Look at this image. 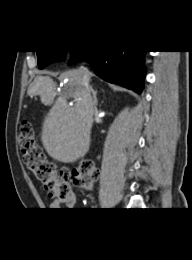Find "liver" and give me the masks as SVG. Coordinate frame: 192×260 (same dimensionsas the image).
<instances>
[{
    "instance_id": "6515ba94",
    "label": "liver",
    "mask_w": 192,
    "mask_h": 260,
    "mask_svg": "<svg viewBox=\"0 0 192 260\" xmlns=\"http://www.w3.org/2000/svg\"><path fill=\"white\" fill-rule=\"evenodd\" d=\"M84 76L81 69L60 74L62 92L55 99L42 126L41 141L44 148L53 159L63 163L77 161L90 147L94 110ZM91 76L88 72V83ZM56 94V84L50 76L37 75L28 89V95H40L44 101H54ZM69 97L77 100L74 107H69Z\"/></svg>"
}]
</instances>
